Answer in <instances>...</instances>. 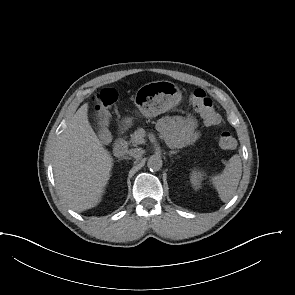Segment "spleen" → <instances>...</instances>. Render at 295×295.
<instances>
[{
  "label": "spleen",
  "instance_id": "spleen-1",
  "mask_svg": "<svg viewBox=\"0 0 295 295\" xmlns=\"http://www.w3.org/2000/svg\"><path fill=\"white\" fill-rule=\"evenodd\" d=\"M242 175L239 155H233L222 174L211 177V181L223 202H228L235 194Z\"/></svg>",
  "mask_w": 295,
  "mask_h": 295
}]
</instances>
